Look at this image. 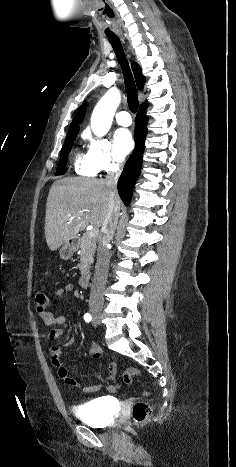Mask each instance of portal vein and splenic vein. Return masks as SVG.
Listing matches in <instances>:
<instances>
[{"label":"portal vein and splenic vein","mask_w":236,"mask_h":467,"mask_svg":"<svg viewBox=\"0 0 236 467\" xmlns=\"http://www.w3.org/2000/svg\"><path fill=\"white\" fill-rule=\"evenodd\" d=\"M73 217L71 215H68V219L71 220ZM99 233V229L98 228H91L90 231L88 232V235L90 237H95L97 236Z\"/></svg>","instance_id":"18ae733b"}]
</instances>
